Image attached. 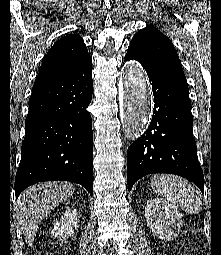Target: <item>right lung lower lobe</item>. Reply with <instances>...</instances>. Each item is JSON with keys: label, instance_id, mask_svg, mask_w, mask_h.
Wrapping results in <instances>:
<instances>
[{"label": "right lung lower lobe", "instance_id": "right-lung-lower-lobe-1", "mask_svg": "<svg viewBox=\"0 0 221 255\" xmlns=\"http://www.w3.org/2000/svg\"><path fill=\"white\" fill-rule=\"evenodd\" d=\"M91 57L59 76L35 82L25 121L16 198L41 181L81 184L93 194Z\"/></svg>", "mask_w": 221, "mask_h": 255}]
</instances>
